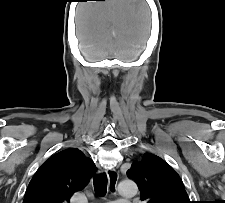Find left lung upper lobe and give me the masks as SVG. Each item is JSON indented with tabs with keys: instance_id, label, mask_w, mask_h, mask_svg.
Instances as JSON below:
<instances>
[{
	"instance_id": "left-lung-upper-lobe-1",
	"label": "left lung upper lobe",
	"mask_w": 225,
	"mask_h": 203,
	"mask_svg": "<svg viewBox=\"0 0 225 203\" xmlns=\"http://www.w3.org/2000/svg\"><path fill=\"white\" fill-rule=\"evenodd\" d=\"M127 174L147 203H191L179 175L156 155L146 153L141 162H133Z\"/></svg>"
}]
</instances>
